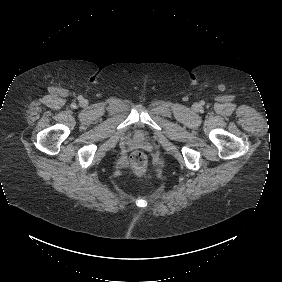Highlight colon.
Here are the masks:
<instances>
[{"label": "colon", "instance_id": "obj_1", "mask_svg": "<svg viewBox=\"0 0 282 282\" xmlns=\"http://www.w3.org/2000/svg\"><path fill=\"white\" fill-rule=\"evenodd\" d=\"M131 166L137 172H144L150 166V158L144 152H137L131 158ZM146 175V173H143Z\"/></svg>", "mask_w": 282, "mask_h": 282}]
</instances>
